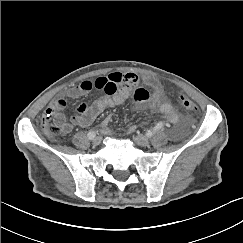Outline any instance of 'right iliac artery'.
<instances>
[{"instance_id":"82829eb1","label":"right iliac artery","mask_w":243,"mask_h":243,"mask_svg":"<svg viewBox=\"0 0 243 243\" xmlns=\"http://www.w3.org/2000/svg\"><path fill=\"white\" fill-rule=\"evenodd\" d=\"M87 136L89 139H93L96 136V133H95V131H89Z\"/></svg>"}]
</instances>
